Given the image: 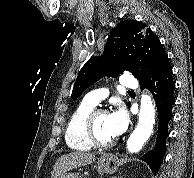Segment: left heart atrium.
<instances>
[{
    "label": "left heart atrium",
    "mask_w": 194,
    "mask_h": 178,
    "mask_svg": "<svg viewBox=\"0 0 194 178\" xmlns=\"http://www.w3.org/2000/svg\"><path fill=\"white\" fill-rule=\"evenodd\" d=\"M108 125L113 136L122 134L128 126V115L126 111L119 107L108 114Z\"/></svg>",
    "instance_id": "left-heart-atrium-1"
}]
</instances>
